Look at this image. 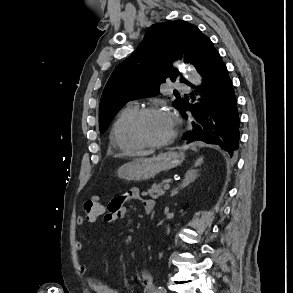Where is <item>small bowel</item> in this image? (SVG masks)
Here are the masks:
<instances>
[{
	"instance_id": "1",
	"label": "small bowel",
	"mask_w": 293,
	"mask_h": 293,
	"mask_svg": "<svg viewBox=\"0 0 293 293\" xmlns=\"http://www.w3.org/2000/svg\"><path fill=\"white\" fill-rule=\"evenodd\" d=\"M132 200H141L143 204V209L146 213L148 210L152 212L154 209L153 200L143 198L138 188H132L126 191L124 194L110 200L107 208L104 209L103 212L104 220L108 223H115L124 220L127 214L126 203ZM77 223L79 225H82L83 219L79 218L77 220ZM76 249L80 252L84 251V246L81 241L76 242ZM88 270L89 268L87 265H80L81 273L86 274ZM139 281L142 285L143 293H155L156 288L153 281V276L149 271H141L139 274ZM87 282L94 293H121L120 290L99 283L93 278H88Z\"/></svg>"
}]
</instances>
